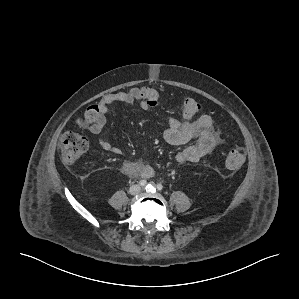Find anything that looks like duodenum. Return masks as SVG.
Wrapping results in <instances>:
<instances>
[{
  "instance_id": "duodenum-1",
  "label": "duodenum",
  "mask_w": 299,
  "mask_h": 299,
  "mask_svg": "<svg viewBox=\"0 0 299 299\" xmlns=\"http://www.w3.org/2000/svg\"><path fill=\"white\" fill-rule=\"evenodd\" d=\"M123 169H124L125 173L129 174V175H134V174H136V171H137L136 165L133 163L125 164Z\"/></svg>"
}]
</instances>
